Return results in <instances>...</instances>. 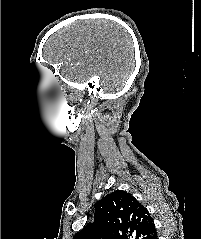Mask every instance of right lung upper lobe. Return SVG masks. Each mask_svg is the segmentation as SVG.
Wrapping results in <instances>:
<instances>
[{
  "mask_svg": "<svg viewBox=\"0 0 201 239\" xmlns=\"http://www.w3.org/2000/svg\"><path fill=\"white\" fill-rule=\"evenodd\" d=\"M94 220L73 239H155L157 236L147 209L122 190L107 194L98 201Z\"/></svg>",
  "mask_w": 201,
  "mask_h": 239,
  "instance_id": "obj_1",
  "label": "right lung upper lobe"
}]
</instances>
